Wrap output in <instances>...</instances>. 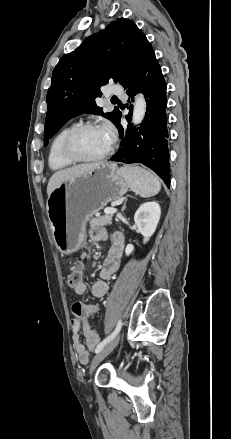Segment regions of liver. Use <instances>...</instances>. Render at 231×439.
Segmentation results:
<instances>
[{
  "label": "liver",
  "mask_w": 231,
  "mask_h": 439,
  "mask_svg": "<svg viewBox=\"0 0 231 439\" xmlns=\"http://www.w3.org/2000/svg\"><path fill=\"white\" fill-rule=\"evenodd\" d=\"M101 164L102 163L80 164V165H76V166L62 169V170L55 172L50 177L48 185H47L48 197L53 192V190L56 189L61 183L65 182L73 177L90 172Z\"/></svg>",
  "instance_id": "6515ba94"
}]
</instances>
